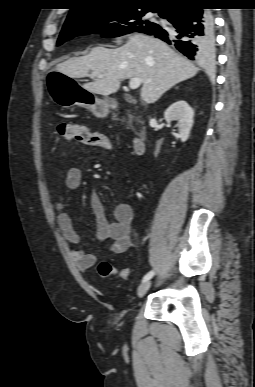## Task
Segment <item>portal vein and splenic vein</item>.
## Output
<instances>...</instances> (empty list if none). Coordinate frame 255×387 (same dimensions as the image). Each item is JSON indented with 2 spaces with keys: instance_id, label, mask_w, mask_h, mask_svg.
Instances as JSON below:
<instances>
[{
  "instance_id": "18ae733b",
  "label": "portal vein and splenic vein",
  "mask_w": 255,
  "mask_h": 387,
  "mask_svg": "<svg viewBox=\"0 0 255 387\" xmlns=\"http://www.w3.org/2000/svg\"><path fill=\"white\" fill-rule=\"evenodd\" d=\"M142 83V80L140 78H131L129 81V87L130 89H137Z\"/></svg>"
}]
</instances>
